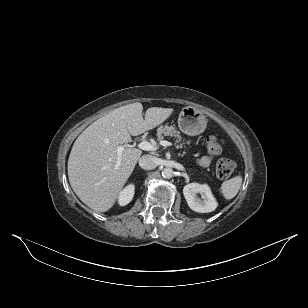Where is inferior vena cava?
<instances>
[{
	"label": "inferior vena cava",
	"mask_w": 308,
	"mask_h": 308,
	"mask_svg": "<svg viewBox=\"0 0 308 308\" xmlns=\"http://www.w3.org/2000/svg\"><path fill=\"white\" fill-rule=\"evenodd\" d=\"M139 166L145 170H152L157 166V158L152 155H143L139 159Z\"/></svg>",
	"instance_id": "inferior-vena-cava-1"
}]
</instances>
